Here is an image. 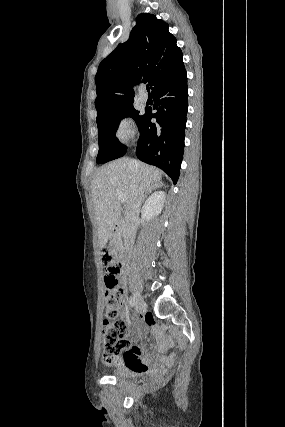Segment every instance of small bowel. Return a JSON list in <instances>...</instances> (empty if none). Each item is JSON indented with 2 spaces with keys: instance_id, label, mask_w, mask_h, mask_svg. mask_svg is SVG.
<instances>
[{
  "instance_id": "1",
  "label": "small bowel",
  "mask_w": 285,
  "mask_h": 427,
  "mask_svg": "<svg viewBox=\"0 0 285 427\" xmlns=\"http://www.w3.org/2000/svg\"><path fill=\"white\" fill-rule=\"evenodd\" d=\"M122 315L127 320H129L128 309L126 306L122 310ZM139 323L141 326L148 327H154L156 325V322L150 317L140 318ZM132 345L133 347L131 351L124 353L123 356L118 359V365L136 368L135 364L141 361L145 364V367L143 369L156 371L159 367L169 365L174 361V356L164 357L161 355H157L155 358H152L151 353L140 350V348L137 346L136 337L132 338ZM159 346L161 348H167L168 345L166 343V340H161Z\"/></svg>"
}]
</instances>
